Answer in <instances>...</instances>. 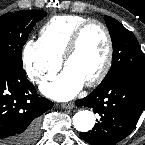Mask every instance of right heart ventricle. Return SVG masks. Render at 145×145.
I'll use <instances>...</instances> for the list:
<instances>
[{"label": "right heart ventricle", "instance_id": "obj_1", "mask_svg": "<svg viewBox=\"0 0 145 145\" xmlns=\"http://www.w3.org/2000/svg\"><path fill=\"white\" fill-rule=\"evenodd\" d=\"M88 19L80 15L54 16L40 28L39 43L50 55L61 59L75 29Z\"/></svg>", "mask_w": 145, "mask_h": 145}]
</instances>
